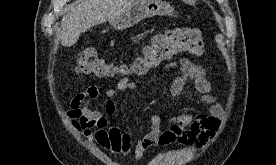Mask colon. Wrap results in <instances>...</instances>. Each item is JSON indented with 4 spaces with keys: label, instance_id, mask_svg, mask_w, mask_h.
<instances>
[{
    "label": "colon",
    "instance_id": "5ec220e1",
    "mask_svg": "<svg viewBox=\"0 0 276 165\" xmlns=\"http://www.w3.org/2000/svg\"><path fill=\"white\" fill-rule=\"evenodd\" d=\"M205 51L204 39L197 28L181 27L166 30L152 37L140 57L126 72L142 74L169 60L181 52L202 55ZM76 70L78 73L98 77H110L121 72L109 64L97 51L85 49L77 57Z\"/></svg>",
    "mask_w": 276,
    "mask_h": 165
}]
</instances>
